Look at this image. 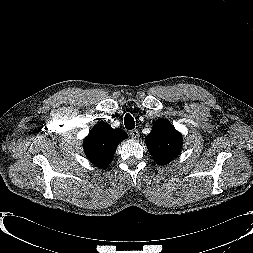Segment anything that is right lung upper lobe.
Listing matches in <instances>:
<instances>
[{
  "label": "right lung upper lobe",
  "instance_id": "right-lung-upper-lobe-1",
  "mask_svg": "<svg viewBox=\"0 0 253 253\" xmlns=\"http://www.w3.org/2000/svg\"><path fill=\"white\" fill-rule=\"evenodd\" d=\"M125 138L127 133L123 129H113L102 122L94 126L84 139V151L94 165L105 168L112 162L118 144Z\"/></svg>",
  "mask_w": 253,
  "mask_h": 253
}]
</instances>
